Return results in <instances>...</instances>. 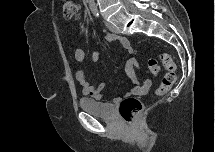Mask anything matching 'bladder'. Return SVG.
Returning <instances> with one entry per match:
<instances>
[{
    "label": "bladder",
    "instance_id": "31cf9c89",
    "mask_svg": "<svg viewBox=\"0 0 215 152\" xmlns=\"http://www.w3.org/2000/svg\"><path fill=\"white\" fill-rule=\"evenodd\" d=\"M80 107L90 114L98 117L111 119L115 116V108L111 103L96 101L91 98H81Z\"/></svg>",
    "mask_w": 215,
    "mask_h": 152
}]
</instances>
